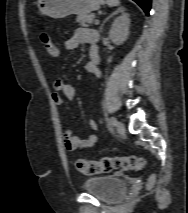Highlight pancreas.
I'll list each match as a JSON object with an SVG mask.
<instances>
[{
	"instance_id": "pancreas-1",
	"label": "pancreas",
	"mask_w": 188,
	"mask_h": 213,
	"mask_svg": "<svg viewBox=\"0 0 188 213\" xmlns=\"http://www.w3.org/2000/svg\"><path fill=\"white\" fill-rule=\"evenodd\" d=\"M95 19L94 14H87V15H79L76 19V22L79 23L81 26H90Z\"/></svg>"
}]
</instances>
